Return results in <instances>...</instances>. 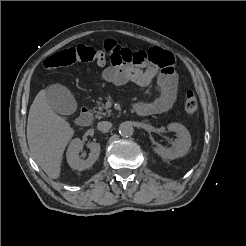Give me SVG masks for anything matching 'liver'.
I'll return each mask as SVG.
<instances>
[{
	"mask_svg": "<svg viewBox=\"0 0 246 246\" xmlns=\"http://www.w3.org/2000/svg\"><path fill=\"white\" fill-rule=\"evenodd\" d=\"M73 135L69 122L51 109L46 91L40 90L29 110L27 141L33 159L49 178L60 177L63 153Z\"/></svg>",
	"mask_w": 246,
	"mask_h": 246,
	"instance_id": "liver-1",
	"label": "liver"
}]
</instances>
